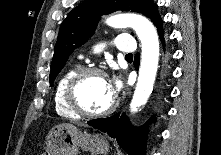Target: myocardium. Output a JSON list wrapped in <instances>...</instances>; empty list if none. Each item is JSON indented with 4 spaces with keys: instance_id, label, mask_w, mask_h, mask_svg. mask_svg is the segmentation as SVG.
<instances>
[{
    "instance_id": "f54148a6",
    "label": "myocardium",
    "mask_w": 221,
    "mask_h": 155,
    "mask_svg": "<svg viewBox=\"0 0 221 155\" xmlns=\"http://www.w3.org/2000/svg\"><path fill=\"white\" fill-rule=\"evenodd\" d=\"M91 75H101L107 78L106 72L98 67H85L77 71L69 80L65 89V102L67 106L77 115L88 118H99L111 114L118 106L117 95L114 94V98L111 104L102 111L91 112L82 107L77 98V90L82 81Z\"/></svg>"
}]
</instances>
